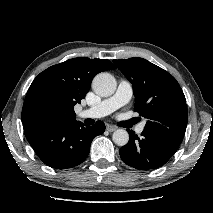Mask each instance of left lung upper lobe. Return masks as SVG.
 <instances>
[{"mask_svg": "<svg viewBox=\"0 0 213 213\" xmlns=\"http://www.w3.org/2000/svg\"><path fill=\"white\" fill-rule=\"evenodd\" d=\"M113 62L133 85L134 111L147 119L144 130L181 143L188 111L184 93L176 79L143 58Z\"/></svg>", "mask_w": 213, "mask_h": 213, "instance_id": "5c2ea615", "label": "left lung upper lobe"}]
</instances>
